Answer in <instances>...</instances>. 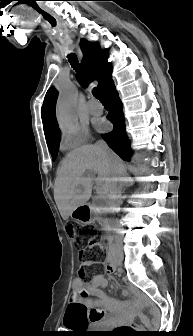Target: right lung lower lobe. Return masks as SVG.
<instances>
[{"mask_svg": "<svg viewBox=\"0 0 193 336\" xmlns=\"http://www.w3.org/2000/svg\"><path fill=\"white\" fill-rule=\"evenodd\" d=\"M105 97L111 105L108 113V120H110L114 128L108 134H103V140L125 161H130L132 157V150L130 149L129 140L125 133V119L122 111V102L116 91L114 82L111 81L103 91Z\"/></svg>", "mask_w": 193, "mask_h": 336, "instance_id": "98d812e1", "label": "right lung lower lobe"}]
</instances>
